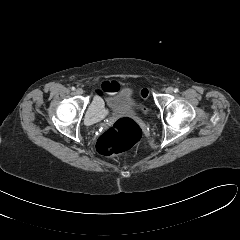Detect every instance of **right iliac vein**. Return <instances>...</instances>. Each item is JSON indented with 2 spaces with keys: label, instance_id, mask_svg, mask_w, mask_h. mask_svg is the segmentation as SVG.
<instances>
[{
  "label": "right iliac vein",
  "instance_id": "right-iliac-vein-1",
  "mask_svg": "<svg viewBox=\"0 0 240 240\" xmlns=\"http://www.w3.org/2000/svg\"><path fill=\"white\" fill-rule=\"evenodd\" d=\"M76 94H78V95L83 94V89H81V88L76 89Z\"/></svg>",
  "mask_w": 240,
  "mask_h": 240
}]
</instances>
